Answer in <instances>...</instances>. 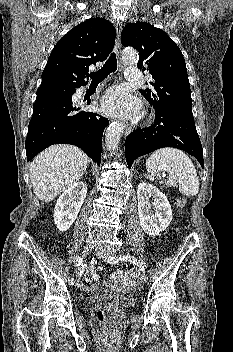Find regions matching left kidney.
I'll return each mask as SVG.
<instances>
[{
    "label": "left kidney",
    "mask_w": 233,
    "mask_h": 352,
    "mask_svg": "<svg viewBox=\"0 0 233 352\" xmlns=\"http://www.w3.org/2000/svg\"><path fill=\"white\" fill-rule=\"evenodd\" d=\"M150 197L154 198L152 204L156 210L154 214L150 211ZM137 198L138 215L143 231L148 235L156 236L166 230L172 220V210L167 197L155 186L141 182L138 185Z\"/></svg>",
    "instance_id": "left-kidney-1"
}]
</instances>
